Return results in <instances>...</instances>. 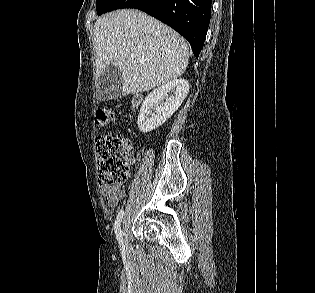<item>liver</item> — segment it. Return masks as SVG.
Masks as SVG:
<instances>
[{
    "instance_id": "1",
    "label": "liver",
    "mask_w": 315,
    "mask_h": 293,
    "mask_svg": "<svg viewBox=\"0 0 315 293\" xmlns=\"http://www.w3.org/2000/svg\"><path fill=\"white\" fill-rule=\"evenodd\" d=\"M96 72L114 65L122 71V95L149 91L180 77L189 45L177 32L147 14L122 9L94 25Z\"/></svg>"
}]
</instances>
